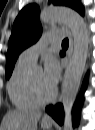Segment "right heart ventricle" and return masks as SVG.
Returning <instances> with one entry per match:
<instances>
[{"mask_svg":"<svg viewBox=\"0 0 95 130\" xmlns=\"http://www.w3.org/2000/svg\"><path fill=\"white\" fill-rule=\"evenodd\" d=\"M33 64L18 60L8 83V94L12 104L20 110H30L39 107L29 92V76Z\"/></svg>","mask_w":95,"mask_h":130,"instance_id":"1","label":"right heart ventricle"}]
</instances>
